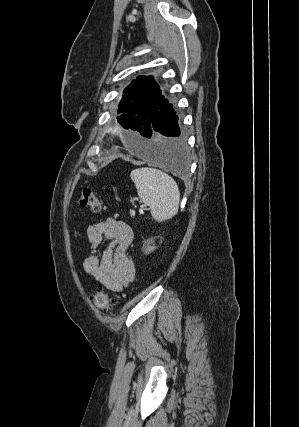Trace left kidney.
Masks as SVG:
<instances>
[{"instance_id": "obj_1", "label": "left kidney", "mask_w": 299, "mask_h": 427, "mask_svg": "<svg viewBox=\"0 0 299 427\" xmlns=\"http://www.w3.org/2000/svg\"><path fill=\"white\" fill-rule=\"evenodd\" d=\"M154 249H155V246H149V247H147L145 253L147 254L149 252H152V251H154Z\"/></svg>"}]
</instances>
